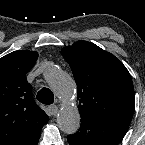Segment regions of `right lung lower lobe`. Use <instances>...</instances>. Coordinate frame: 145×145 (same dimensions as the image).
<instances>
[{
	"mask_svg": "<svg viewBox=\"0 0 145 145\" xmlns=\"http://www.w3.org/2000/svg\"><path fill=\"white\" fill-rule=\"evenodd\" d=\"M41 131L26 137L21 142H19L17 145H37L38 140L40 138Z\"/></svg>",
	"mask_w": 145,
	"mask_h": 145,
	"instance_id": "98d812e1",
	"label": "right lung lower lobe"
}]
</instances>
